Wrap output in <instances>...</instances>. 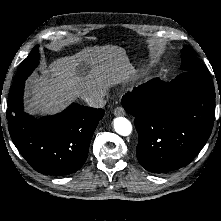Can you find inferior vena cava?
<instances>
[{
  "label": "inferior vena cava",
  "mask_w": 221,
  "mask_h": 221,
  "mask_svg": "<svg viewBox=\"0 0 221 221\" xmlns=\"http://www.w3.org/2000/svg\"><path fill=\"white\" fill-rule=\"evenodd\" d=\"M83 100L87 103L88 106L94 108H102L106 103L104 97L99 94L88 95L84 97Z\"/></svg>",
  "instance_id": "602c4592"
}]
</instances>
